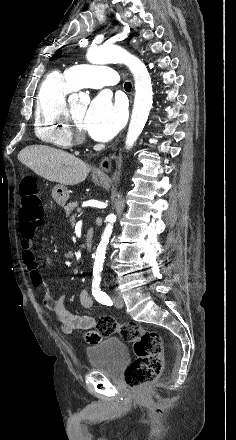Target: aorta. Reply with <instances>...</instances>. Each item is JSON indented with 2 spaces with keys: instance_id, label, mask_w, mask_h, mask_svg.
<instances>
[{
  "instance_id": "1",
  "label": "aorta",
  "mask_w": 236,
  "mask_h": 440,
  "mask_svg": "<svg viewBox=\"0 0 236 440\" xmlns=\"http://www.w3.org/2000/svg\"><path fill=\"white\" fill-rule=\"evenodd\" d=\"M86 56L87 60L92 64H125L133 74L135 81V99L125 141L126 148L130 149L142 133L153 103V88L147 67L138 57L117 45L104 44L99 47L90 48ZM79 98L89 100L86 95L72 94L70 101L77 102ZM106 221L107 224L94 258L93 275L95 277H99L103 270L106 249L112 234L113 224L116 221V216L109 214Z\"/></svg>"
}]
</instances>
